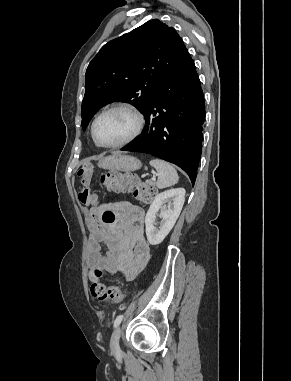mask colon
Returning a JSON list of instances; mask_svg holds the SVG:
<instances>
[{
	"label": "colon",
	"instance_id": "5ec220e1",
	"mask_svg": "<svg viewBox=\"0 0 291 381\" xmlns=\"http://www.w3.org/2000/svg\"><path fill=\"white\" fill-rule=\"evenodd\" d=\"M86 170L81 168L78 171L80 178H85ZM102 183L114 191H130L132 196L143 203H150L153 201L156 191L153 186L145 182H141L133 177L127 176L123 173H107L102 176ZM80 197L83 201H94L95 195L90 193L87 188H84ZM102 220L105 224L111 225L115 221V215L111 211H106L102 215ZM103 274L102 270L96 269L94 275L99 278ZM91 294L99 301H111L119 303L122 300V293L116 286H107L101 282H95L91 286Z\"/></svg>",
	"mask_w": 291,
	"mask_h": 381
}]
</instances>
